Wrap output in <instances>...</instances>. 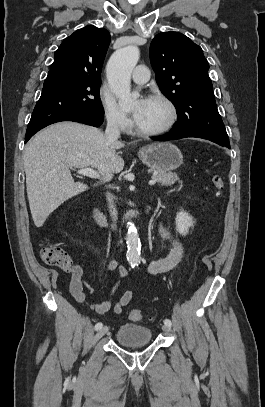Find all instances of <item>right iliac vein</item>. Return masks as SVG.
<instances>
[{
  "label": "right iliac vein",
  "mask_w": 265,
  "mask_h": 407,
  "mask_svg": "<svg viewBox=\"0 0 265 407\" xmlns=\"http://www.w3.org/2000/svg\"><path fill=\"white\" fill-rule=\"evenodd\" d=\"M107 331H108V327H107V326H104V327L100 328V329L97 331V333L95 334V336H94V339H93L94 343H95L96 341H98L101 337H103V336L107 333Z\"/></svg>",
  "instance_id": "obj_1"
}]
</instances>
